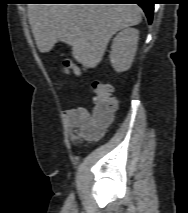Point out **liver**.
Returning a JSON list of instances; mask_svg holds the SVG:
<instances>
[{
    "label": "liver",
    "instance_id": "liver-1",
    "mask_svg": "<svg viewBox=\"0 0 188 213\" xmlns=\"http://www.w3.org/2000/svg\"><path fill=\"white\" fill-rule=\"evenodd\" d=\"M28 18L41 53L61 41L72 47L77 62L95 68L112 36L141 22L142 9L136 4H30Z\"/></svg>",
    "mask_w": 188,
    "mask_h": 213
}]
</instances>
